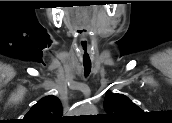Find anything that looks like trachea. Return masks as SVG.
<instances>
[{
  "instance_id": "trachea-1",
  "label": "trachea",
  "mask_w": 172,
  "mask_h": 123,
  "mask_svg": "<svg viewBox=\"0 0 172 123\" xmlns=\"http://www.w3.org/2000/svg\"><path fill=\"white\" fill-rule=\"evenodd\" d=\"M84 51H85L84 58L86 56L89 58V54L87 53V49H84ZM84 71H85V75L88 76L90 71H91V61H89V62L84 61Z\"/></svg>"
}]
</instances>
